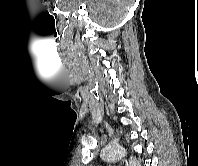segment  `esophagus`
Instances as JSON below:
<instances>
[{"instance_id": "1", "label": "esophagus", "mask_w": 198, "mask_h": 166, "mask_svg": "<svg viewBox=\"0 0 198 166\" xmlns=\"http://www.w3.org/2000/svg\"><path fill=\"white\" fill-rule=\"evenodd\" d=\"M125 165H126V166H128V162H127V160H126V159H125Z\"/></svg>"}]
</instances>
